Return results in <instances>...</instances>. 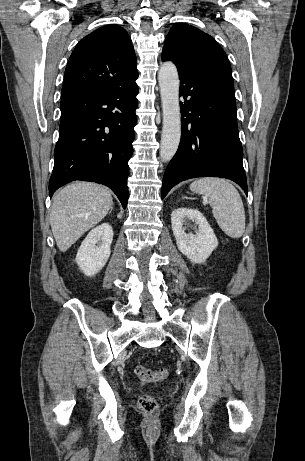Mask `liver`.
<instances>
[{"label": "liver", "instance_id": "obj_1", "mask_svg": "<svg viewBox=\"0 0 305 461\" xmlns=\"http://www.w3.org/2000/svg\"><path fill=\"white\" fill-rule=\"evenodd\" d=\"M113 199L104 187L90 182L65 186L54 197L50 225L61 252L68 250L86 231L112 209Z\"/></svg>", "mask_w": 305, "mask_h": 461}]
</instances>
